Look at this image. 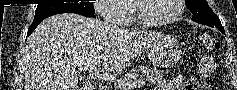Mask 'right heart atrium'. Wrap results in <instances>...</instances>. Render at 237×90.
Masks as SVG:
<instances>
[{
  "instance_id": "d8ad5b80",
  "label": "right heart atrium",
  "mask_w": 237,
  "mask_h": 90,
  "mask_svg": "<svg viewBox=\"0 0 237 90\" xmlns=\"http://www.w3.org/2000/svg\"><path fill=\"white\" fill-rule=\"evenodd\" d=\"M94 6H90L91 10L101 12L104 20H124L125 14L118 10V6H122V0H95Z\"/></svg>"
}]
</instances>
